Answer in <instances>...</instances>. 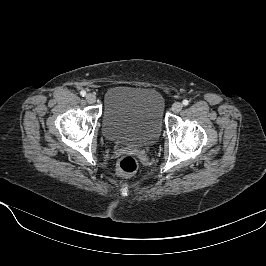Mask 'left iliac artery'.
<instances>
[{
	"label": "left iliac artery",
	"instance_id": "obj_1",
	"mask_svg": "<svg viewBox=\"0 0 266 266\" xmlns=\"http://www.w3.org/2000/svg\"><path fill=\"white\" fill-rule=\"evenodd\" d=\"M189 104V101L187 99L183 100V105L187 106Z\"/></svg>",
	"mask_w": 266,
	"mask_h": 266
}]
</instances>
